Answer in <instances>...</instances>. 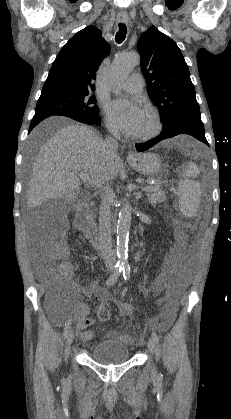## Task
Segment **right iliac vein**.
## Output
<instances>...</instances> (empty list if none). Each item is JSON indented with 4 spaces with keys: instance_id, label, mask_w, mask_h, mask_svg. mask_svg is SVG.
Instances as JSON below:
<instances>
[{
    "instance_id": "1",
    "label": "right iliac vein",
    "mask_w": 231,
    "mask_h": 419,
    "mask_svg": "<svg viewBox=\"0 0 231 419\" xmlns=\"http://www.w3.org/2000/svg\"><path fill=\"white\" fill-rule=\"evenodd\" d=\"M74 338H75V333H74L73 330H70L69 333H68V335H67V344L69 346L73 343Z\"/></svg>"
}]
</instances>
